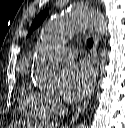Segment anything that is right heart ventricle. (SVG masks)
Returning <instances> with one entry per match:
<instances>
[{
    "instance_id": "1",
    "label": "right heart ventricle",
    "mask_w": 125,
    "mask_h": 128,
    "mask_svg": "<svg viewBox=\"0 0 125 128\" xmlns=\"http://www.w3.org/2000/svg\"><path fill=\"white\" fill-rule=\"evenodd\" d=\"M19 108L24 116L36 120H47L53 113L45 94L26 85L21 89Z\"/></svg>"
}]
</instances>
